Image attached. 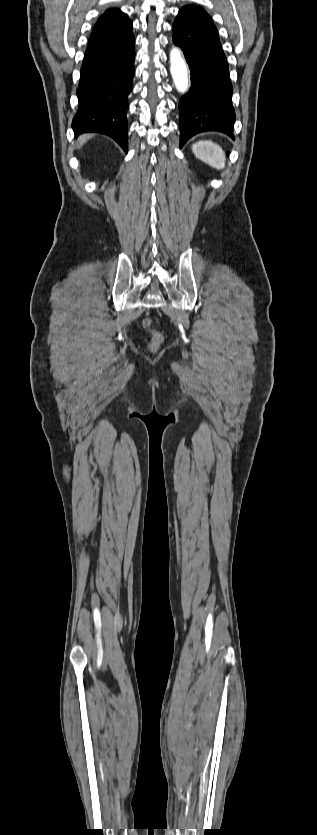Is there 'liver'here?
Segmentation results:
<instances>
[{
  "instance_id": "obj_1",
  "label": "liver",
  "mask_w": 317,
  "mask_h": 835,
  "mask_svg": "<svg viewBox=\"0 0 317 835\" xmlns=\"http://www.w3.org/2000/svg\"><path fill=\"white\" fill-rule=\"evenodd\" d=\"M90 137H91V136H90V135H88V134H86V135H82V136H80V137L78 138V142H79L80 144H84L85 142H87V140H89V139H90Z\"/></svg>"
}]
</instances>
